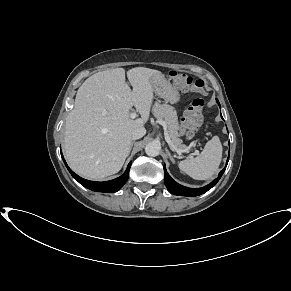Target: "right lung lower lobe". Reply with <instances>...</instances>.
Segmentation results:
<instances>
[{"instance_id": "98d812e1", "label": "right lung lower lobe", "mask_w": 291, "mask_h": 291, "mask_svg": "<svg viewBox=\"0 0 291 291\" xmlns=\"http://www.w3.org/2000/svg\"><path fill=\"white\" fill-rule=\"evenodd\" d=\"M61 157L67 167V169L69 170V172L71 173V175L84 187L92 190V191H96V192H105V193H113L118 191L119 189H121L123 187V185L127 182L128 177H129V170L131 167V162L129 163L125 173L123 175H121L120 177L114 179V180H110V181H105V182H96V181H89L86 179L81 178L80 176H78L77 174H75L67 165V163L64 160L63 155L61 154Z\"/></svg>"}]
</instances>
